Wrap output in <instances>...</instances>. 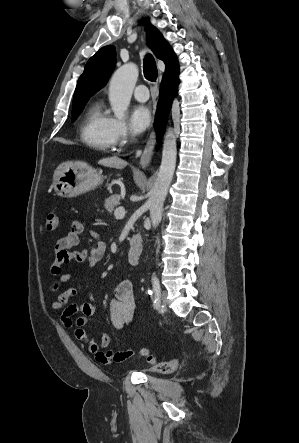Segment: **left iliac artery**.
<instances>
[{
    "mask_svg": "<svg viewBox=\"0 0 299 443\" xmlns=\"http://www.w3.org/2000/svg\"><path fill=\"white\" fill-rule=\"evenodd\" d=\"M152 285L155 292V300H154V307L158 308L160 306V298H161V290H160V284L157 279V277L153 274L152 276Z\"/></svg>",
    "mask_w": 299,
    "mask_h": 443,
    "instance_id": "1",
    "label": "left iliac artery"
}]
</instances>
